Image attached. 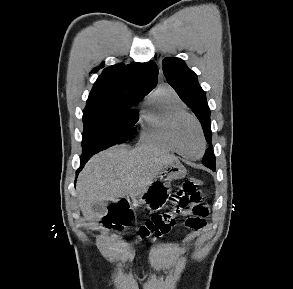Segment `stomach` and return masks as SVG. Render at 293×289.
I'll list each match as a JSON object with an SVG mask.
<instances>
[{
	"instance_id": "obj_1",
	"label": "stomach",
	"mask_w": 293,
	"mask_h": 289,
	"mask_svg": "<svg viewBox=\"0 0 293 289\" xmlns=\"http://www.w3.org/2000/svg\"><path fill=\"white\" fill-rule=\"evenodd\" d=\"M186 173L185 167L179 162L164 166L144 192L132 199V205H144L151 211L162 209L171 195V182L185 177Z\"/></svg>"
}]
</instances>
